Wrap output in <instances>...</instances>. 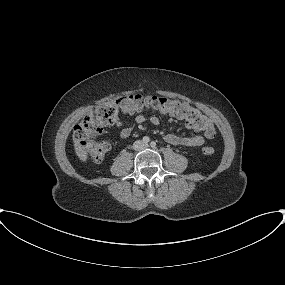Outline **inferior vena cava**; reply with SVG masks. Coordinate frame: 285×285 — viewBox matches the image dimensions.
Listing matches in <instances>:
<instances>
[{
  "label": "inferior vena cava",
  "instance_id": "1",
  "mask_svg": "<svg viewBox=\"0 0 285 285\" xmlns=\"http://www.w3.org/2000/svg\"><path fill=\"white\" fill-rule=\"evenodd\" d=\"M146 146L147 145L143 141H140V140L135 141L134 144H133V148L136 151H141V150L145 149Z\"/></svg>",
  "mask_w": 285,
  "mask_h": 285
}]
</instances>
